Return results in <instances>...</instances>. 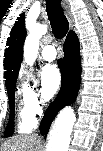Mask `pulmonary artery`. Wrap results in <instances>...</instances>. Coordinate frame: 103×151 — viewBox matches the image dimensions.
<instances>
[{
    "label": "pulmonary artery",
    "instance_id": "e3ab8cb5",
    "mask_svg": "<svg viewBox=\"0 0 103 151\" xmlns=\"http://www.w3.org/2000/svg\"><path fill=\"white\" fill-rule=\"evenodd\" d=\"M42 56L47 61L55 60L57 56L55 47L53 45H46L42 50Z\"/></svg>",
    "mask_w": 103,
    "mask_h": 151
}]
</instances>
